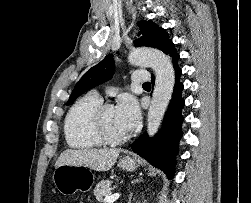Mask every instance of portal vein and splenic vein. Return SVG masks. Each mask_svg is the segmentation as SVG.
I'll return each mask as SVG.
<instances>
[{"mask_svg":"<svg viewBox=\"0 0 251 203\" xmlns=\"http://www.w3.org/2000/svg\"><path fill=\"white\" fill-rule=\"evenodd\" d=\"M120 194L116 193L113 195L106 196L104 199L105 203H113L119 198Z\"/></svg>","mask_w":251,"mask_h":203,"instance_id":"1","label":"portal vein and splenic vein"}]
</instances>
